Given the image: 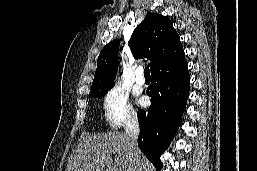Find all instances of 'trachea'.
Listing matches in <instances>:
<instances>
[{"label":"trachea","mask_w":257,"mask_h":171,"mask_svg":"<svg viewBox=\"0 0 257 171\" xmlns=\"http://www.w3.org/2000/svg\"><path fill=\"white\" fill-rule=\"evenodd\" d=\"M144 76H145V77H150V70H149V67H145V69H144Z\"/></svg>","instance_id":"3493384b"}]
</instances>
